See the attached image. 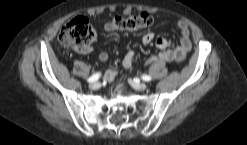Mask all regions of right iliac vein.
I'll use <instances>...</instances> for the list:
<instances>
[{
  "instance_id": "right-iliac-vein-1",
  "label": "right iliac vein",
  "mask_w": 247,
  "mask_h": 145,
  "mask_svg": "<svg viewBox=\"0 0 247 145\" xmlns=\"http://www.w3.org/2000/svg\"><path fill=\"white\" fill-rule=\"evenodd\" d=\"M89 88H90L91 90H97V89L100 88V83H99V82L91 83V84L89 85Z\"/></svg>"
}]
</instances>
